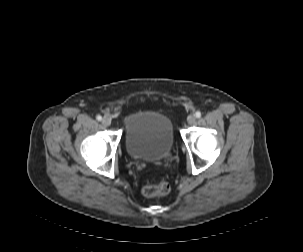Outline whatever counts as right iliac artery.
<instances>
[{"label":"right iliac artery","instance_id":"obj_1","mask_svg":"<svg viewBox=\"0 0 303 252\" xmlns=\"http://www.w3.org/2000/svg\"><path fill=\"white\" fill-rule=\"evenodd\" d=\"M96 119H97L98 121H101L102 117H101L100 115H97V116H96Z\"/></svg>","mask_w":303,"mask_h":252}]
</instances>
